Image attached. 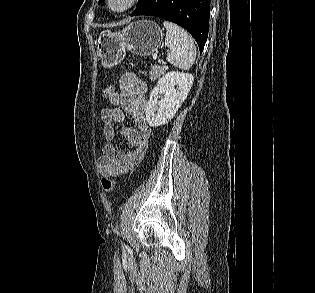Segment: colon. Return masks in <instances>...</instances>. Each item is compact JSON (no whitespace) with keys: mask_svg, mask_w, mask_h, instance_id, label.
<instances>
[{"mask_svg":"<svg viewBox=\"0 0 315 293\" xmlns=\"http://www.w3.org/2000/svg\"><path fill=\"white\" fill-rule=\"evenodd\" d=\"M113 91H115V86H109L102 91V96L104 98H108L113 93ZM101 184L104 191L112 192L117 186V181L112 178L104 177L101 181Z\"/></svg>","mask_w":315,"mask_h":293,"instance_id":"obj_1","label":"colon"}]
</instances>
